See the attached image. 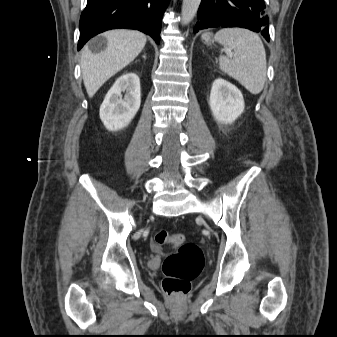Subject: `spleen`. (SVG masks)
Segmentation results:
<instances>
[{"label": "spleen", "instance_id": "3e777b00", "mask_svg": "<svg viewBox=\"0 0 337 337\" xmlns=\"http://www.w3.org/2000/svg\"><path fill=\"white\" fill-rule=\"evenodd\" d=\"M215 41L233 50V59L221 55L220 69L237 80L251 94H259L266 81V53L260 37L243 28H224L215 34Z\"/></svg>", "mask_w": 337, "mask_h": 337}]
</instances>
